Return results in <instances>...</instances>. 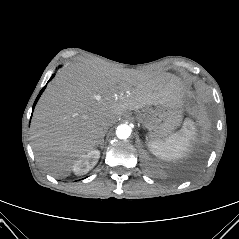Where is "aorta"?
<instances>
[{"mask_svg": "<svg viewBox=\"0 0 239 239\" xmlns=\"http://www.w3.org/2000/svg\"><path fill=\"white\" fill-rule=\"evenodd\" d=\"M132 133V128L127 124H121L116 128V136L119 139H127Z\"/></svg>", "mask_w": 239, "mask_h": 239, "instance_id": "aorta-1", "label": "aorta"}]
</instances>
